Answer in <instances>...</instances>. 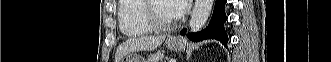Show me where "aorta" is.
Wrapping results in <instances>:
<instances>
[{
  "instance_id": "762f6f07",
  "label": "aorta",
  "mask_w": 331,
  "mask_h": 62,
  "mask_svg": "<svg viewBox=\"0 0 331 62\" xmlns=\"http://www.w3.org/2000/svg\"><path fill=\"white\" fill-rule=\"evenodd\" d=\"M214 0H196L195 5L191 14V19L189 23L191 32L200 31L204 25L206 24L212 7Z\"/></svg>"
}]
</instances>
